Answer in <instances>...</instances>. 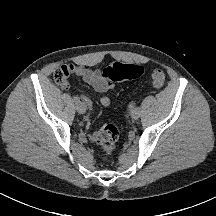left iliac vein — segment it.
Returning a JSON list of instances; mask_svg holds the SVG:
<instances>
[{"mask_svg": "<svg viewBox=\"0 0 216 216\" xmlns=\"http://www.w3.org/2000/svg\"><path fill=\"white\" fill-rule=\"evenodd\" d=\"M130 116L135 120L138 119L140 116V109L138 107L131 109Z\"/></svg>", "mask_w": 216, "mask_h": 216, "instance_id": "4c4485c4", "label": "left iliac vein"}]
</instances>
